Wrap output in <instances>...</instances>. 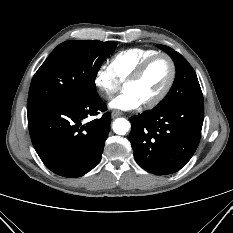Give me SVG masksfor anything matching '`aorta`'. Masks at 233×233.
Instances as JSON below:
<instances>
[{
	"label": "aorta",
	"instance_id": "aorta-1",
	"mask_svg": "<svg viewBox=\"0 0 233 233\" xmlns=\"http://www.w3.org/2000/svg\"><path fill=\"white\" fill-rule=\"evenodd\" d=\"M113 131L119 135H125L130 129V123L125 118H118L113 122Z\"/></svg>",
	"mask_w": 233,
	"mask_h": 233
}]
</instances>
